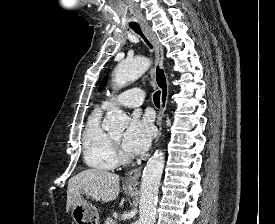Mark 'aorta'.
Listing matches in <instances>:
<instances>
[{
    "instance_id": "obj_1",
    "label": "aorta",
    "mask_w": 275,
    "mask_h": 224,
    "mask_svg": "<svg viewBox=\"0 0 275 224\" xmlns=\"http://www.w3.org/2000/svg\"><path fill=\"white\" fill-rule=\"evenodd\" d=\"M150 63V59L146 57H136L119 62L114 71V86L122 88L127 83L135 81L148 69ZM127 124V115L118 107H113L104 120L103 128L107 131H119L125 129ZM164 164V153L156 151L143 170L138 224H154L155 222L157 197Z\"/></svg>"
}]
</instances>
